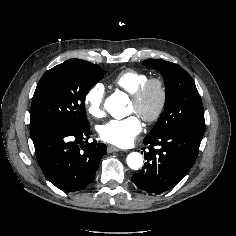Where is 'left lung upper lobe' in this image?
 Listing matches in <instances>:
<instances>
[{"instance_id": "obj_1", "label": "left lung upper lobe", "mask_w": 236, "mask_h": 236, "mask_svg": "<svg viewBox=\"0 0 236 236\" xmlns=\"http://www.w3.org/2000/svg\"><path fill=\"white\" fill-rule=\"evenodd\" d=\"M143 64L159 70L166 87L165 110L149 134L174 129L205 132L203 104L191 76L179 65L162 59Z\"/></svg>"}]
</instances>
